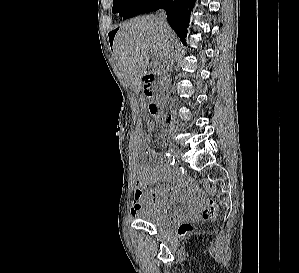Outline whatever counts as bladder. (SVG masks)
<instances>
[{"label": "bladder", "instance_id": "31cf9c89", "mask_svg": "<svg viewBox=\"0 0 299 273\" xmlns=\"http://www.w3.org/2000/svg\"><path fill=\"white\" fill-rule=\"evenodd\" d=\"M137 218L156 229H167L178 221L179 216L175 214L160 215L147 210H142L137 214Z\"/></svg>", "mask_w": 299, "mask_h": 273}]
</instances>
